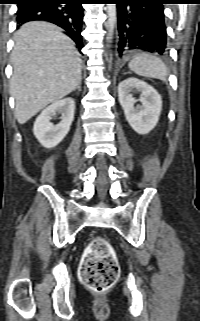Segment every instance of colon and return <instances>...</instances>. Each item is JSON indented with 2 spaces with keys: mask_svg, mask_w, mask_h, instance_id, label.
<instances>
[{
  "mask_svg": "<svg viewBox=\"0 0 200 321\" xmlns=\"http://www.w3.org/2000/svg\"><path fill=\"white\" fill-rule=\"evenodd\" d=\"M119 275V266L112 246L102 237L92 240L80 267L82 282L91 290L109 289Z\"/></svg>",
  "mask_w": 200,
  "mask_h": 321,
  "instance_id": "5ec220e1",
  "label": "colon"
}]
</instances>
